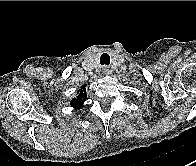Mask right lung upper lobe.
<instances>
[{
    "mask_svg": "<svg viewBox=\"0 0 196 166\" xmlns=\"http://www.w3.org/2000/svg\"><path fill=\"white\" fill-rule=\"evenodd\" d=\"M85 86H86V85H83V86H82L83 89L80 91L79 96L77 97V99L75 98V99H73V100L71 101V106L74 107L75 109L82 108L83 103H84L85 100H86V96H87V95H86Z\"/></svg>",
    "mask_w": 196,
    "mask_h": 166,
    "instance_id": "obj_1",
    "label": "right lung upper lobe"
}]
</instances>
